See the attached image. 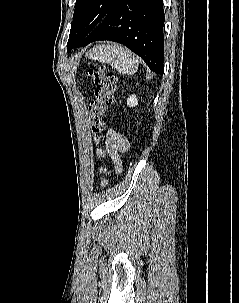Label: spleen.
<instances>
[{"instance_id": "spleen-1", "label": "spleen", "mask_w": 239, "mask_h": 303, "mask_svg": "<svg viewBox=\"0 0 239 303\" xmlns=\"http://www.w3.org/2000/svg\"><path fill=\"white\" fill-rule=\"evenodd\" d=\"M86 56L89 59L106 63L119 73L133 75L139 65L136 55L119 44H103L93 47Z\"/></svg>"}]
</instances>
